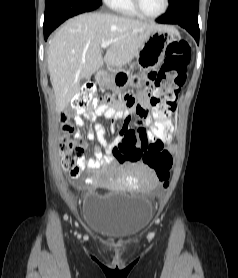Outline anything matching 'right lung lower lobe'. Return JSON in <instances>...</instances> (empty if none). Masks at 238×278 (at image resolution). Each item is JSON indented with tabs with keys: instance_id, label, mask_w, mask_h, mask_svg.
<instances>
[{
	"instance_id": "obj_1",
	"label": "right lung lower lobe",
	"mask_w": 238,
	"mask_h": 278,
	"mask_svg": "<svg viewBox=\"0 0 238 278\" xmlns=\"http://www.w3.org/2000/svg\"><path fill=\"white\" fill-rule=\"evenodd\" d=\"M101 5V0H45L44 38L66 19L92 11Z\"/></svg>"
}]
</instances>
